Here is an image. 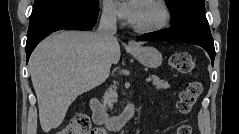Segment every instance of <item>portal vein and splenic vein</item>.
Returning <instances> with one entry per match:
<instances>
[{"mask_svg":"<svg viewBox=\"0 0 239 134\" xmlns=\"http://www.w3.org/2000/svg\"><path fill=\"white\" fill-rule=\"evenodd\" d=\"M151 81V78H146V82H150Z\"/></svg>","mask_w":239,"mask_h":134,"instance_id":"obj_1","label":"portal vein and splenic vein"}]
</instances>
